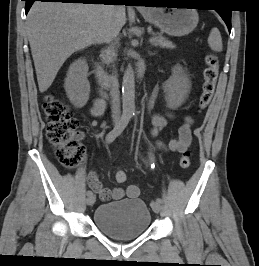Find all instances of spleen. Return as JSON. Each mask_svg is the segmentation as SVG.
<instances>
[{
  "label": "spleen",
  "instance_id": "1",
  "mask_svg": "<svg viewBox=\"0 0 259 266\" xmlns=\"http://www.w3.org/2000/svg\"><path fill=\"white\" fill-rule=\"evenodd\" d=\"M209 47L216 52H221L223 49L222 38L219 30L217 28H213L208 37Z\"/></svg>",
  "mask_w": 259,
  "mask_h": 266
}]
</instances>
